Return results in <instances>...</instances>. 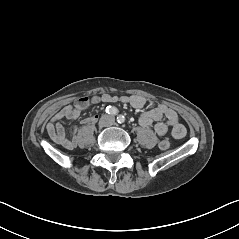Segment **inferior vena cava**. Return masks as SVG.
Here are the masks:
<instances>
[{
	"label": "inferior vena cava",
	"instance_id": "inferior-vena-cava-1",
	"mask_svg": "<svg viewBox=\"0 0 239 239\" xmlns=\"http://www.w3.org/2000/svg\"><path fill=\"white\" fill-rule=\"evenodd\" d=\"M114 117L109 114H104L101 118V124L104 127H109L114 123Z\"/></svg>",
	"mask_w": 239,
	"mask_h": 239
}]
</instances>
